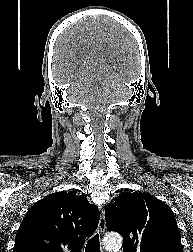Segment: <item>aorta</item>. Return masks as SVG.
<instances>
[{
	"label": "aorta",
	"mask_w": 193,
	"mask_h": 252,
	"mask_svg": "<svg viewBox=\"0 0 193 252\" xmlns=\"http://www.w3.org/2000/svg\"><path fill=\"white\" fill-rule=\"evenodd\" d=\"M122 243L123 239L121 235L116 233L107 234L103 239V244L105 248L114 252H117L121 248Z\"/></svg>",
	"instance_id": "1"
}]
</instances>
